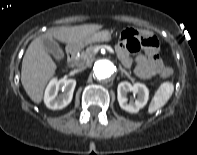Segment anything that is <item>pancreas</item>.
<instances>
[{"mask_svg": "<svg viewBox=\"0 0 197 155\" xmlns=\"http://www.w3.org/2000/svg\"><path fill=\"white\" fill-rule=\"evenodd\" d=\"M99 46L91 45L86 48V50L82 51L80 56L77 57L76 62L78 65L85 64L90 59L93 58L94 54L99 50Z\"/></svg>", "mask_w": 197, "mask_h": 155, "instance_id": "pancreas-1", "label": "pancreas"}]
</instances>
